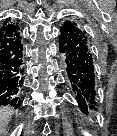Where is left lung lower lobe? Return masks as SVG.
<instances>
[{"label":"left lung lower lobe","mask_w":117,"mask_h":136,"mask_svg":"<svg viewBox=\"0 0 117 136\" xmlns=\"http://www.w3.org/2000/svg\"><path fill=\"white\" fill-rule=\"evenodd\" d=\"M59 42L69 86L81 110L85 114L96 111L95 61L88 34L79 25L66 21L60 28Z\"/></svg>","instance_id":"obj_1"}]
</instances>
